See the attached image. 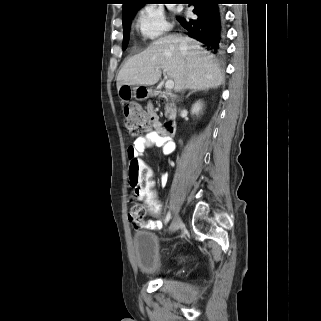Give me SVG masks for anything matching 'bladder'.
I'll use <instances>...</instances> for the list:
<instances>
[{"label":"bladder","instance_id":"31cf9c89","mask_svg":"<svg viewBox=\"0 0 321 321\" xmlns=\"http://www.w3.org/2000/svg\"><path fill=\"white\" fill-rule=\"evenodd\" d=\"M132 248L138 268L147 275H157L162 269L160 241L153 232L139 231L132 235Z\"/></svg>","mask_w":321,"mask_h":321}]
</instances>
